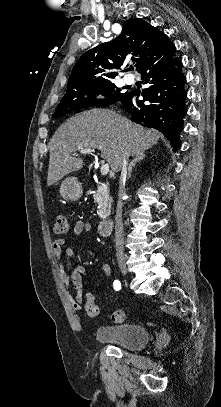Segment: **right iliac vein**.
<instances>
[{
    "instance_id": "1",
    "label": "right iliac vein",
    "mask_w": 221,
    "mask_h": 407,
    "mask_svg": "<svg viewBox=\"0 0 221 407\" xmlns=\"http://www.w3.org/2000/svg\"><path fill=\"white\" fill-rule=\"evenodd\" d=\"M119 269H120V271L122 272L123 275H127V274H128V271H127V268H126V265H125V264H120V265H119Z\"/></svg>"
}]
</instances>
